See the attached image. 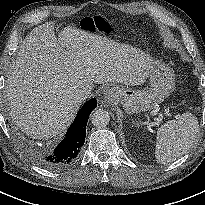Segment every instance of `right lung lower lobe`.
Masks as SVG:
<instances>
[{
	"mask_svg": "<svg viewBox=\"0 0 205 205\" xmlns=\"http://www.w3.org/2000/svg\"><path fill=\"white\" fill-rule=\"evenodd\" d=\"M96 106V99H91L82 106L66 132L65 138L53 151L27 148V154L36 163L50 170L72 166L79 157L81 147L85 142L87 121Z\"/></svg>",
	"mask_w": 205,
	"mask_h": 205,
	"instance_id": "1",
	"label": "right lung lower lobe"
}]
</instances>
